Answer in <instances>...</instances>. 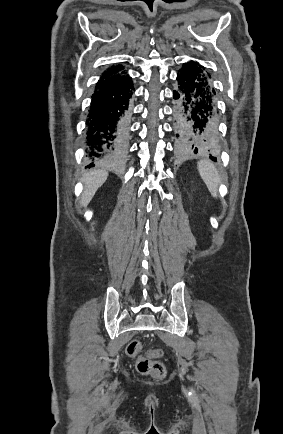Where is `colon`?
<instances>
[{"instance_id": "5ec220e1", "label": "colon", "mask_w": 283, "mask_h": 434, "mask_svg": "<svg viewBox=\"0 0 283 434\" xmlns=\"http://www.w3.org/2000/svg\"><path fill=\"white\" fill-rule=\"evenodd\" d=\"M142 345L139 340H131L126 347V353L128 356L137 358L136 369L139 373L144 375H150L154 378H162L165 373L164 365L154 360V358L160 357L162 352L158 349L150 350L145 356L141 355Z\"/></svg>"}]
</instances>
